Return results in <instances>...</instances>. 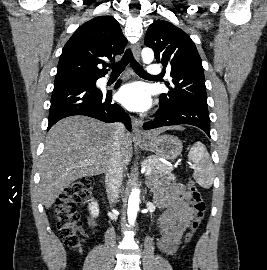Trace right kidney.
I'll list each match as a JSON object with an SVG mask.
<instances>
[{"label": "right kidney", "instance_id": "right-kidney-1", "mask_svg": "<svg viewBox=\"0 0 267 270\" xmlns=\"http://www.w3.org/2000/svg\"><path fill=\"white\" fill-rule=\"evenodd\" d=\"M89 211L93 218H96L99 216V205L97 201H92L89 204Z\"/></svg>", "mask_w": 267, "mask_h": 270}]
</instances>
